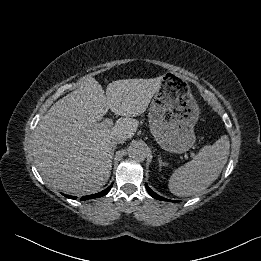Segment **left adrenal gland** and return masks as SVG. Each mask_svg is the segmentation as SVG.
Segmentation results:
<instances>
[{
  "label": "left adrenal gland",
  "mask_w": 261,
  "mask_h": 261,
  "mask_svg": "<svg viewBox=\"0 0 261 261\" xmlns=\"http://www.w3.org/2000/svg\"><path fill=\"white\" fill-rule=\"evenodd\" d=\"M158 160H159V167H160V168H161L162 166H166V165H167V163H166V162H163V161H162V159H161L160 155H159V158H158Z\"/></svg>",
  "instance_id": "left-adrenal-gland-1"
}]
</instances>
